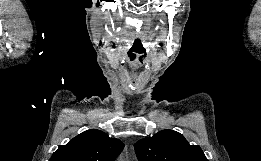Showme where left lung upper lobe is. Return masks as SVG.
<instances>
[{"mask_svg":"<svg viewBox=\"0 0 261 161\" xmlns=\"http://www.w3.org/2000/svg\"><path fill=\"white\" fill-rule=\"evenodd\" d=\"M139 161H208L198 145H190L182 134L162 130L134 145Z\"/></svg>","mask_w":261,"mask_h":161,"instance_id":"1","label":"left lung upper lobe"}]
</instances>
